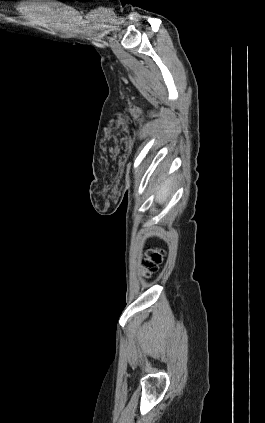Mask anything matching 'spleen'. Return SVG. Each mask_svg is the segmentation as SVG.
I'll return each mask as SVG.
<instances>
[{"mask_svg": "<svg viewBox=\"0 0 265 423\" xmlns=\"http://www.w3.org/2000/svg\"><path fill=\"white\" fill-rule=\"evenodd\" d=\"M174 179L171 177L165 181L164 184L160 187L157 195H156V201H158L160 204H163L167 201L168 196L170 195V189L173 184Z\"/></svg>", "mask_w": 265, "mask_h": 423, "instance_id": "3e777b00", "label": "spleen"}]
</instances>
